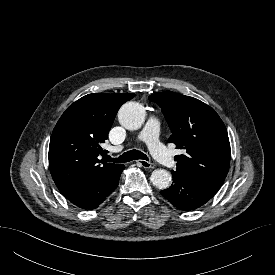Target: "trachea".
I'll use <instances>...</instances> for the list:
<instances>
[{
    "mask_svg": "<svg viewBox=\"0 0 275 275\" xmlns=\"http://www.w3.org/2000/svg\"><path fill=\"white\" fill-rule=\"evenodd\" d=\"M138 159L148 160V157L144 153L136 149L125 152L118 158L107 157L108 162H115V163H125V162L138 160Z\"/></svg>",
    "mask_w": 275,
    "mask_h": 275,
    "instance_id": "trachea-1",
    "label": "trachea"
}]
</instances>
